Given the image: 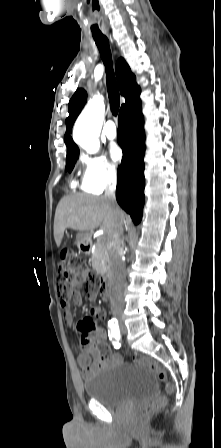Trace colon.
<instances>
[{
    "label": "colon",
    "mask_w": 221,
    "mask_h": 448,
    "mask_svg": "<svg viewBox=\"0 0 221 448\" xmlns=\"http://www.w3.org/2000/svg\"><path fill=\"white\" fill-rule=\"evenodd\" d=\"M80 261L76 252L70 248L66 247L62 250L60 254V261L58 267V286L61 291H66L71 282L78 280L80 277ZM95 292L94 282L91 281L89 288V295L93 296ZM84 329L91 330L93 325L89 322L83 324ZM139 365L147 367L150 371L157 375V377L164 383V389L166 391H171V384L167 381L166 372L163 368L151 359L141 358L136 361ZM166 402L165 397H160L146 404L139 412V418L141 420H146L156 411H158Z\"/></svg>",
    "instance_id": "1"
}]
</instances>
